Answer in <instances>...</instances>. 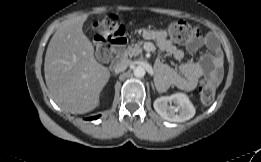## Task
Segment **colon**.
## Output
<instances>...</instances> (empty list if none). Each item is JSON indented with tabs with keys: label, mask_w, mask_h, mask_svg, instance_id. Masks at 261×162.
Returning <instances> with one entry per match:
<instances>
[{
	"label": "colon",
	"mask_w": 261,
	"mask_h": 162,
	"mask_svg": "<svg viewBox=\"0 0 261 162\" xmlns=\"http://www.w3.org/2000/svg\"><path fill=\"white\" fill-rule=\"evenodd\" d=\"M96 42V55L101 60H109L112 57V46L126 42L125 27L117 14L109 13L93 24ZM170 38L180 44L196 39L200 29L184 20H174L167 28ZM216 82L210 78H204L199 85L201 102L210 104L214 99Z\"/></svg>",
	"instance_id": "5ec220e1"
}]
</instances>
